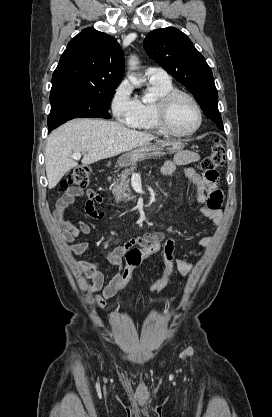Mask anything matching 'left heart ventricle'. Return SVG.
Masks as SVG:
<instances>
[{"instance_id": "1", "label": "left heart ventricle", "mask_w": 272, "mask_h": 417, "mask_svg": "<svg viewBox=\"0 0 272 417\" xmlns=\"http://www.w3.org/2000/svg\"><path fill=\"white\" fill-rule=\"evenodd\" d=\"M197 120V111L189 100L179 98L174 102L169 114V123L174 130L188 132L196 126Z\"/></svg>"}]
</instances>
